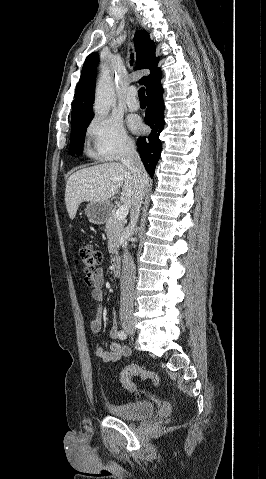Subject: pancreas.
<instances>
[{"instance_id":"1","label":"pancreas","mask_w":266,"mask_h":479,"mask_svg":"<svg viewBox=\"0 0 266 479\" xmlns=\"http://www.w3.org/2000/svg\"><path fill=\"white\" fill-rule=\"evenodd\" d=\"M123 227V221L116 219L113 214L106 221L105 232L108 238V251L111 254H118Z\"/></svg>"}]
</instances>
